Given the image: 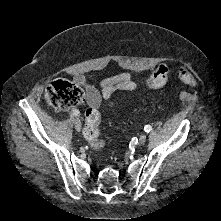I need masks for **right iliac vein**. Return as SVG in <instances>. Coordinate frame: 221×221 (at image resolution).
<instances>
[{
    "mask_svg": "<svg viewBox=\"0 0 221 221\" xmlns=\"http://www.w3.org/2000/svg\"><path fill=\"white\" fill-rule=\"evenodd\" d=\"M74 124H75V129L80 132L81 131V128H82V124H81V121L79 118H76L75 121H74Z\"/></svg>",
    "mask_w": 221,
    "mask_h": 221,
    "instance_id": "1",
    "label": "right iliac vein"
}]
</instances>
